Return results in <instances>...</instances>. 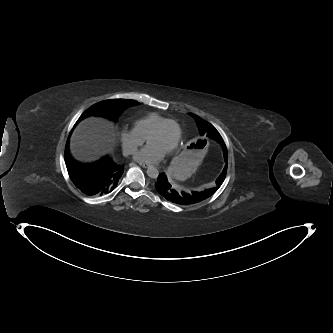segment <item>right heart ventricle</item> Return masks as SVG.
I'll use <instances>...</instances> for the list:
<instances>
[{
	"mask_svg": "<svg viewBox=\"0 0 333 333\" xmlns=\"http://www.w3.org/2000/svg\"><path fill=\"white\" fill-rule=\"evenodd\" d=\"M168 119L170 118L167 116L157 112H151L136 120L134 123V129L146 139L157 126Z\"/></svg>",
	"mask_w": 333,
	"mask_h": 333,
	"instance_id": "1",
	"label": "right heart ventricle"
}]
</instances>
